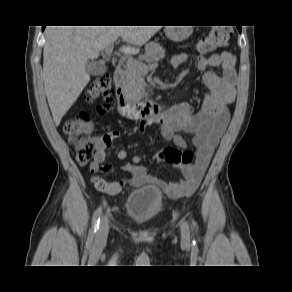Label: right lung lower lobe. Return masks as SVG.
Returning <instances> with one entry per match:
<instances>
[{
  "label": "right lung lower lobe",
  "instance_id": "right-lung-lower-lobe-1",
  "mask_svg": "<svg viewBox=\"0 0 292 292\" xmlns=\"http://www.w3.org/2000/svg\"><path fill=\"white\" fill-rule=\"evenodd\" d=\"M45 26H42V30H44Z\"/></svg>",
  "mask_w": 292,
  "mask_h": 292
}]
</instances>
